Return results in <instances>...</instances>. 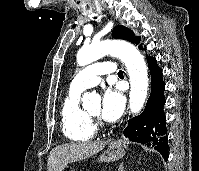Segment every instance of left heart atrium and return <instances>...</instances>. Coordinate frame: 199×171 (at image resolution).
<instances>
[{
	"mask_svg": "<svg viewBox=\"0 0 199 171\" xmlns=\"http://www.w3.org/2000/svg\"><path fill=\"white\" fill-rule=\"evenodd\" d=\"M124 104L125 98L118 88L105 90L100 109L102 119L110 123L116 122L123 113Z\"/></svg>",
	"mask_w": 199,
	"mask_h": 171,
	"instance_id": "1",
	"label": "left heart atrium"
}]
</instances>
